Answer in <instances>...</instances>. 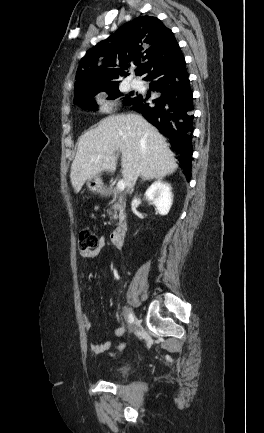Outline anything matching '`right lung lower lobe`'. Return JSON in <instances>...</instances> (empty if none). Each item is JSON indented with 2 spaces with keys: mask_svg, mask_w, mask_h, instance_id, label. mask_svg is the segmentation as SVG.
<instances>
[{
  "mask_svg": "<svg viewBox=\"0 0 264 433\" xmlns=\"http://www.w3.org/2000/svg\"><path fill=\"white\" fill-rule=\"evenodd\" d=\"M144 80L151 82L150 90L159 96L151 100L149 94L136 95L128 105L170 139L172 149L179 155L180 165L189 181L194 108L189 74L182 53L154 67Z\"/></svg>",
  "mask_w": 264,
  "mask_h": 433,
  "instance_id": "98d812e1",
  "label": "right lung lower lobe"
}]
</instances>
